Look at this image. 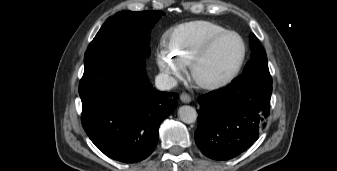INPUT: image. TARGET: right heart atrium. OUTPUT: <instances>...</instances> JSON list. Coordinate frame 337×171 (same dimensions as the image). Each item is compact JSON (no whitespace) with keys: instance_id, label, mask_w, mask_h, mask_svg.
<instances>
[{"instance_id":"d8ad5b80","label":"right heart atrium","mask_w":337,"mask_h":171,"mask_svg":"<svg viewBox=\"0 0 337 171\" xmlns=\"http://www.w3.org/2000/svg\"><path fill=\"white\" fill-rule=\"evenodd\" d=\"M157 62L161 71L171 80L181 78L185 72L184 66L170 55L167 48H160L158 50Z\"/></svg>"}]
</instances>
